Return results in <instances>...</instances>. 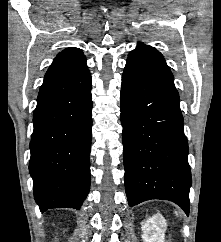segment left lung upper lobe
Returning <instances> with one entry per match:
<instances>
[{"instance_id": "1", "label": "left lung upper lobe", "mask_w": 221, "mask_h": 242, "mask_svg": "<svg viewBox=\"0 0 221 242\" xmlns=\"http://www.w3.org/2000/svg\"><path fill=\"white\" fill-rule=\"evenodd\" d=\"M126 65L154 81L175 87L173 75L164 57L151 46L139 43L129 53Z\"/></svg>"}]
</instances>
